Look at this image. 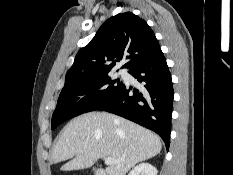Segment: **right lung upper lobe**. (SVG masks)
<instances>
[{
	"label": "right lung upper lobe",
	"mask_w": 233,
	"mask_h": 175,
	"mask_svg": "<svg viewBox=\"0 0 233 175\" xmlns=\"http://www.w3.org/2000/svg\"><path fill=\"white\" fill-rule=\"evenodd\" d=\"M161 52L154 32L143 19L131 12L117 14L78 52L65 82L108 73L123 58L128 62L122 68L131 70Z\"/></svg>",
	"instance_id": "1"
}]
</instances>
